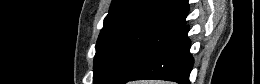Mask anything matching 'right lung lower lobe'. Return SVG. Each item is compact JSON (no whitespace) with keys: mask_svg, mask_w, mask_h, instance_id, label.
Masks as SVG:
<instances>
[{"mask_svg":"<svg viewBox=\"0 0 260 84\" xmlns=\"http://www.w3.org/2000/svg\"><path fill=\"white\" fill-rule=\"evenodd\" d=\"M189 26L182 25L171 39L129 79H160L189 84L193 66L190 54ZM128 80V81H129Z\"/></svg>","mask_w":260,"mask_h":84,"instance_id":"right-lung-lower-lobe-1","label":"right lung lower lobe"}]
</instances>
